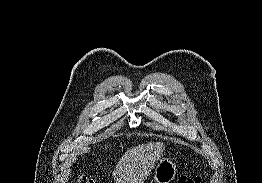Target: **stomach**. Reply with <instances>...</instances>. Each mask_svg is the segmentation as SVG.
Returning <instances> with one entry per match:
<instances>
[{"mask_svg": "<svg viewBox=\"0 0 262 183\" xmlns=\"http://www.w3.org/2000/svg\"><path fill=\"white\" fill-rule=\"evenodd\" d=\"M177 171L178 169L173 160L167 157L161 158L154 169L151 183H171Z\"/></svg>", "mask_w": 262, "mask_h": 183, "instance_id": "0dacf381", "label": "stomach"}]
</instances>
